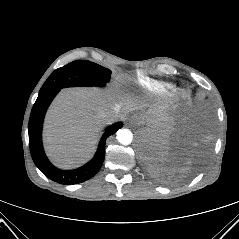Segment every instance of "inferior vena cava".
Listing matches in <instances>:
<instances>
[{
	"label": "inferior vena cava",
	"instance_id": "1",
	"mask_svg": "<svg viewBox=\"0 0 239 239\" xmlns=\"http://www.w3.org/2000/svg\"><path fill=\"white\" fill-rule=\"evenodd\" d=\"M119 114L116 110H109L101 113V117L107 123L112 122L118 118Z\"/></svg>",
	"mask_w": 239,
	"mask_h": 239
}]
</instances>
